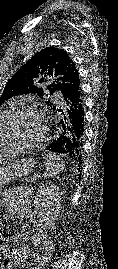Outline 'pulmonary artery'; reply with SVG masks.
I'll list each match as a JSON object with an SVG mask.
<instances>
[{
  "mask_svg": "<svg viewBox=\"0 0 118 269\" xmlns=\"http://www.w3.org/2000/svg\"><path fill=\"white\" fill-rule=\"evenodd\" d=\"M53 99L56 103H62V97H61V94L59 93H55L54 96H53Z\"/></svg>",
  "mask_w": 118,
  "mask_h": 269,
  "instance_id": "pulmonary-artery-1",
  "label": "pulmonary artery"
}]
</instances>
